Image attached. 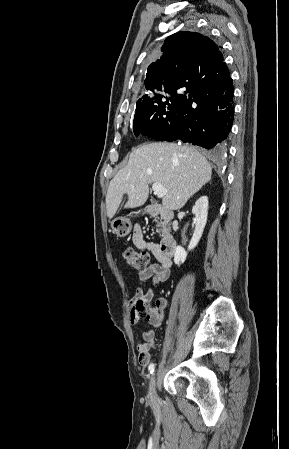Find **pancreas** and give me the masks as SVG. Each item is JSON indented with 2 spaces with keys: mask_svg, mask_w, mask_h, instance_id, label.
<instances>
[{
  "mask_svg": "<svg viewBox=\"0 0 289 449\" xmlns=\"http://www.w3.org/2000/svg\"><path fill=\"white\" fill-rule=\"evenodd\" d=\"M157 219H159V218H156V222H157V227H158V232L161 234H163L164 232H165V226H164V223L162 222V221H158Z\"/></svg>",
  "mask_w": 289,
  "mask_h": 449,
  "instance_id": "cf45deb5",
  "label": "pancreas"
}]
</instances>
